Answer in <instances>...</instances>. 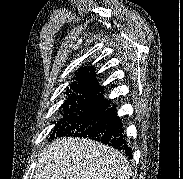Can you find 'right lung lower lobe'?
Wrapping results in <instances>:
<instances>
[{"label":"right lung lower lobe","instance_id":"1","mask_svg":"<svg viewBox=\"0 0 183 179\" xmlns=\"http://www.w3.org/2000/svg\"><path fill=\"white\" fill-rule=\"evenodd\" d=\"M110 102L108 101V106ZM83 137L102 142L124 151L131 158V149L125 139L123 124L117 116L115 106L104 111L99 120L74 137Z\"/></svg>","mask_w":183,"mask_h":179}]
</instances>
